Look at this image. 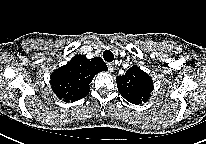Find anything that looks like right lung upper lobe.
I'll return each instance as SVG.
<instances>
[{
  "label": "right lung upper lobe",
  "instance_id": "1",
  "mask_svg": "<svg viewBox=\"0 0 206 144\" xmlns=\"http://www.w3.org/2000/svg\"><path fill=\"white\" fill-rule=\"evenodd\" d=\"M107 69L100 57L87 59L84 55H75L70 62L52 73V90L65 102L77 101L89 94V84L93 77Z\"/></svg>",
  "mask_w": 206,
  "mask_h": 144
}]
</instances>
